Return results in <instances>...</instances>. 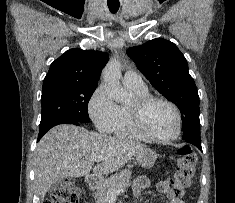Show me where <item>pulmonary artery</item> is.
<instances>
[{
	"mask_svg": "<svg viewBox=\"0 0 235 203\" xmlns=\"http://www.w3.org/2000/svg\"><path fill=\"white\" fill-rule=\"evenodd\" d=\"M123 83L128 87L135 88L138 90L147 89V86L141 76L137 72L132 70H129L124 74Z\"/></svg>",
	"mask_w": 235,
	"mask_h": 203,
	"instance_id": "1",
	"label": "pulmonary artery"
}]
</instances>
